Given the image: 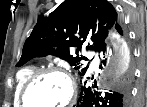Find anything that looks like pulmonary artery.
Masks as SVG:
<instances>
[{
	"mask_svg": "<svg viewBox=\"0 0 147 107\" xmlns=\"http://www.w3.org/2000/svg\"><path fill=\"white\" fill-rule=\"evenodd\" d=\"M91 67H92V68H97V67H98V59H97V58H95V59L92 61Z\"/></svg>",
	"mask_w": 147,
	"mask_h": 107,
	"instance_id": "pulmonary-artery-1",
	"label": "pulmonary artery"
}]
</instances>
